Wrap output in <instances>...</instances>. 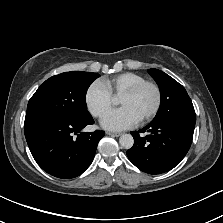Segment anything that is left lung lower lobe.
Returning <instances> with one entry per match:
<instances>
[{"mask_svg": "<svg viewBox=\"0 0 223 223\" xmlns=\"http://www.w3.org/2000/svg\"><path fill=\"white\" fill-rule=\"evenodd\" d=\"M195 123L168 120L149 123L132 131L134 145L127 151L130 161L149 174H160L174 168L187 154L193 138ZM149 134L141 137L140 133Z\"/></svg>", "mask_w": 223, "mask_h": 223, "instance_id": "0a47b994", "label": "left lung lower lobe"}]
</instances>
